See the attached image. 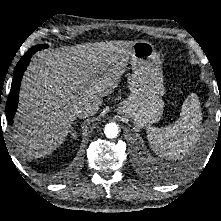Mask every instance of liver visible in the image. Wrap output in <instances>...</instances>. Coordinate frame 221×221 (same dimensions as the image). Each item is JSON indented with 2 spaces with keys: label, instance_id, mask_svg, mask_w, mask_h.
Here are the masks:
<instances>
[{
  "label": "liver",
  "instance_id": "obj_1",
  "mask_svg": "<svg viewBox=\"0 0 221 221\" xmlns=\"http://www.w3.org/2000/svg\"><path fill=\"white\" fill-rule=\"evenodd\" d=\"M132 41H106L41 51L21 83L14 139L29 159L63 143L76 109L98 108L118 86L133 51Z\"/></svg>",
  "mask_w": 221,
  "mask_h": 221
}]
</instances>
